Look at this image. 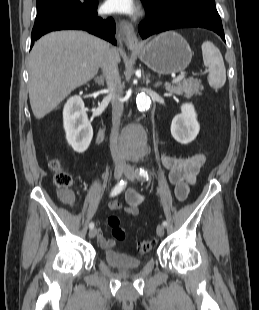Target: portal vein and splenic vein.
<instances>
[{"mask_svg": "<svg viewBox=\"0 0 259 310\" xmlns=\"http://www.w3.org/2000/svg\"><path fill=\"white\" fill-rule=\"evenodd\" d=\"M184 79V75H179L176 78L173 79L172 83H179L180 81H182Z\"/></svg>", "mask_w": 259, "mask_h": 310, "instance_id": "portal-vein-and-splenic-vein-1", "label": "portal vein and splenic vein"}]
</instances>
